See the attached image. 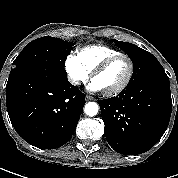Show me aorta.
<instances>
[{
	"mask_svg": "<svg viewBox=\"0 0 178 178\" xmlns=\"http://www.w3.org/2000/svg\"><path fill=\"white\" fill-rule=\"evenodd\" d=\"M98 110L99 106L96 102H88L84 107V112L90 117L97 115Z\"/></svg>",
	"mask_w": 178,
	"mask_h": 178,
	"instance_id": "aorta-1",
	"label": "aorta"
}]
</instances>
